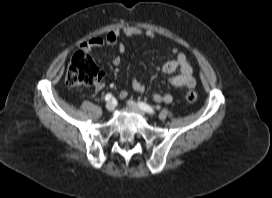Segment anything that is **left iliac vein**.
I'll list each match as a JSON object with an SVG mask.
<instances>
[{
  "label": "left iliac vein",
  "instance_id": "left-iliac-vein-1",
  "mask_svg": "<svg viewBox=\"0 0 272 198\" xmlns=\"http://www.w3.org/2000/svg\"><path fill=\"white\" fill-rule=\"evenodd\" d=\"M127 105L131 110L137 112L138 114H140L142 116L145 115V112L134 101L128 100Z\"/></svg>",
  "mask_w": 272,
  "mask_h": 198
}]
</instances>
